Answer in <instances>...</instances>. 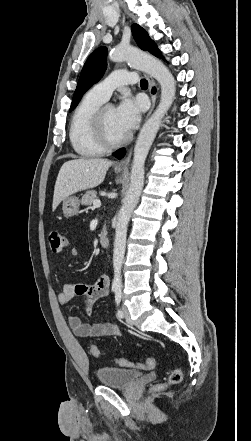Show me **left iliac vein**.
Returning <instances> with one entry per match:
<instances>
[{
	"mask_svg": "<svg viewBox=\"0 0 251 441\" xmlns=\"http://www.w3.org/2000/svg\"><path fill=\"white\" fill-rule=\"evenodd\" d=\"M123 314H124V317H125L126 321H127L129 324H132V320H131V317H130L129 311H128V309H127L126 306H123Z\"/></svg>",
	"mask_w": 251,
	"mask_h": 441,
	"instance_id": "obj_1",
	"label": "left iliac vein"
}]
</instances>
